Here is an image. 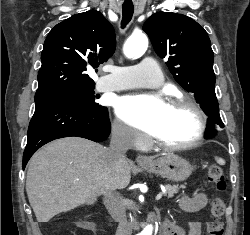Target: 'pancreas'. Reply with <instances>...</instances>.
Segmentation results:
<instances>
[{
    "mask_svg": "<svg viewBox=\"0 0 250 235\" xmlns=\"http://www.w3.org/2000/svg\"><path fill=\"white\" fill-rule=\"evenodd\" d=\"M165 188H166L168 198H172L174 196V194L178 193L180 188L184 189L185 186L178 187V185L171 186V185L167 184V185H165Z\"/></svg>",
    "mask_w": 250,
    "mask_h": 235,
    "instance_id": "obj_1",
    "label": "pancreas"
}]
</instances>
